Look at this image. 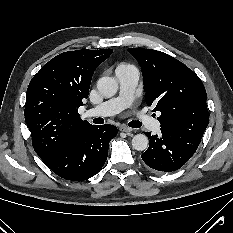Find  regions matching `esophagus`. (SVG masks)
<instances>
[{
  "label": "esophagus",
  "mask_w": 233,
  "mask_h": 233,
  "mask_svg": "<svg viewBox=\"0 0 233 233\" xmlns=\"http://www.w3.org/2000/svg\"><path fill=\"white\" fill-rule=\"evenodd\" d=\"M119 130L122 131V132H126V133L133 131V129L131 127H128L126 125H121Z\"/></svg>",
  "instance_id": "1"
}]
</instances>
